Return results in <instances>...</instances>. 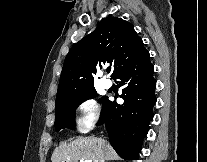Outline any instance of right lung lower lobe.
Instances as JSON below:
<instances>
[{"mask_svg":"<svg viewBox=\"0 0 207 162\" xmlns=\"http://www.w3.org/2000/svg\"><path fill=\"white\" fill-rule=\"evenodd\" d=\"M149 53L121 70L114 79L123 87V105L108 100L103 106L98 124L105 123L109 140L125 160H138L143 137L153 118L156 82Z\"/></svg>","mask_w":207,"mask_h":162,"instance_id":"obj_1","label":"right lung lower lobe"}]
</instances>
